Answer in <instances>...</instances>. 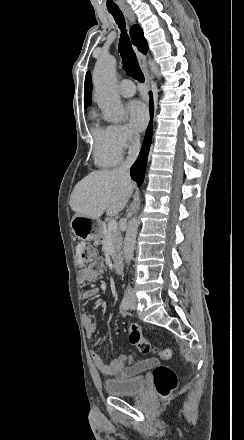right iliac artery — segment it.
<instances>
[{
  "label": "right iliac artery",
  "instance_id": "82829eb1",
  "mask_svg": "<svg viewBox=\"0 0 244 440\" xmlns=\"http://www.w3.org/2000/svg\"><path fill=\"white\" fill-rule=\"evenodd\" d=\"M121 307L124 309V310H128L129 309V297H128V294L126 293L125 295H124V297H123V300H122V302H121Z\"/></svg>",
  "mask_w": 244,
  "mask_h": 440
}]
</instances>
